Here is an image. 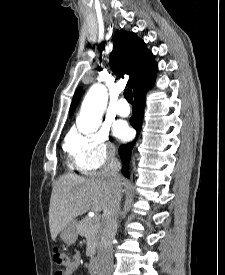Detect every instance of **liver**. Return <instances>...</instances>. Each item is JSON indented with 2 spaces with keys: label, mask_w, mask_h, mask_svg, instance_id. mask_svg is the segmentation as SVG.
Listing matches in <instances>:
<instances>
[{
  "label": "liver",
  "mask_w": 225,
  "mask_h": 275,
  "mask_svg": "<svg viewBox=\"0 0 225 275\" xmlns=\"http://www.w3.org/2000/svg\"><path fill=\"white\" fill-rule=\"evenodd\" d=\"M108 186L105 177L91 173L87 177L66 174L54 184L49 205V227L52 240L79 215L105 209Z\"/></svg>",
  "instance_id": "obj_1"
}]
</instances>
